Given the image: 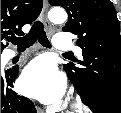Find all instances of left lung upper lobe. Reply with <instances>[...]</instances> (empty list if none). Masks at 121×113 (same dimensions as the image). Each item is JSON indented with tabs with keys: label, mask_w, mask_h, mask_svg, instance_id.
<instances>
[{
	"label": "left lung upper lobe",
	"mask_w": 121,
	"mask_h": 113,
	"mask_svg": "<svg viewBox=\"0 0 121 113\" xmlns=\"http://www.w3.org/2000/svg\"><path fill=\"white\" fill-rule=\"evenodd\" d=\"M68 13L63 31L78 36L83 61L64 65L75 87L99 85L121 97V36L110 0H50Z\"/></svg>",
	"instance_id": "left-lung-upper-lobe-1"
}]
</instances>
